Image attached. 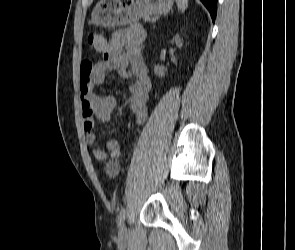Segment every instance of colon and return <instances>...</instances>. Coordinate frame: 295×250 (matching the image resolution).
<instances>
[{"label": "colon", "instance_id": "5ec220e1", "mask_svg": "<svg viewBox=\"0 0 295 250\" xmlns=\"http://www.w3.org/2000/svg\"><path fill=\"white\" fill-rule=\"evenodd\" d=\"M87 40H88L89 45H91L97 51L102 49L107 43V39H106L105 35L102 33H99V32H93V33L89 34Z\"/></svg>", "mask_w": 295, "mask_h": 250}]
</instances>
